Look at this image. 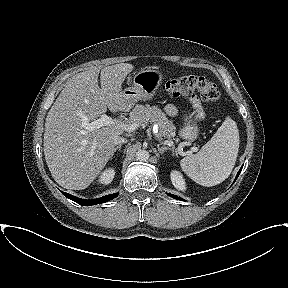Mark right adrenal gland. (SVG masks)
<instances>
[{"label":"right adrenal gland","mask_w":288,"mask_h":288,"mask_svg":"<svg viewBox=\"0 0 288 288\" xmlns=\"http://www.w3.org/2000/svg\"><path fill=\"white\" fill-rule=\"evenodd\" d=\"M120 151L121 150V144L120 145H118L115 149H114V153L116 152V151Z\"/></svg>","instance_id":"2a0ac1e0"}]
</instances>
